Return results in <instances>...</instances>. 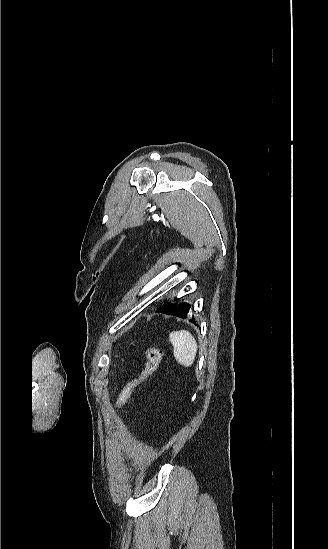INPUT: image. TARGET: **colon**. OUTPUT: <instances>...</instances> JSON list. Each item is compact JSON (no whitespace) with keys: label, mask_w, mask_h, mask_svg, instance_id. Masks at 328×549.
<instances>
[{"label":"colon","mask_w":328,"mask_h":549,"mask_svg":"<svg viewBox=\"0 0 328 549\" xmlns=\"http://www.w3.org/2000/svg\"><path fill=\"white\" fill-rule=\"evenodd\" d=\"M145 356L146 363L140 374L136 378L129 381L119 394L116 401L117 409H122L128 402L136 387L149 379L157 371L162 360L163 352L155 346H150L145 350Z\"/></svg>","instance_id":"obj_1"}]
</instances>
